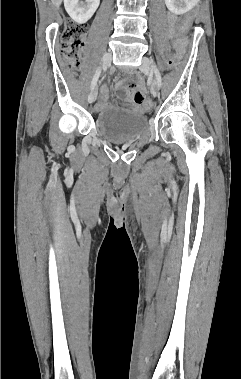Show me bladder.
I'll use <instances>...</instances> for the list:
<instances>
[{"label":"bladder","instance_id":"1","mask_svg":"<svg viewBox=\"0 0 241 379\" xmlns=\"http://www.w3.org/2000/svg\"><path fill=\"white\" fill-rule=\"evenodd\" d=\"M96 126L104 139L122 144L141 138L147 130V119L139 111L113 107L97 115Z\"/></svg>","mask_w":241,"mask_h":379}]
</instances>
